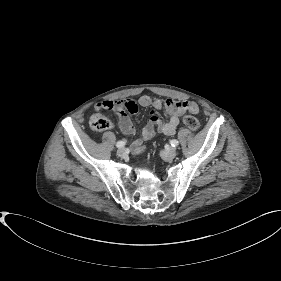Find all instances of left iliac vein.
Returning a JSON list of instances; mask_svg holds the SVG:
<instances>
[{
	"label": "left iliac vein",
	"mask_w": 281,
	"mask_h": 281,
	"mask_svg": "<svg viewBox=\"0 0 281 281\" xmlns=\"http://www.w3.org/2000/svg\"><path fill=\"white\" fill-rule=\"evenodd\" d=\"M177 150L174 147L162 151V156L166 160H172L176 157Z\"/></svg>",
	"instance_id": "4c4485c4"
}]
</instances>
